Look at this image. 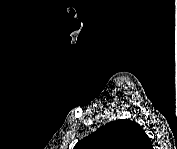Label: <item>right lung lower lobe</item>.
Segmentation results:
<instances>
[{
  "label": "right lung lower lobe",
  "mask_w": 177,
  "mask_h": 149,
  "mask_svg": "<svg viewBox=\"0 0 177 149\" xmlns=\"http://www.w3.org/2000/svg\"><path fill=\"white\" fill-rule=\"evenodd\" d=\"M143 142L146 144L147 147L151 146V141L148 136L144 138Z\"/></svg>",
  "instance_id": "1"
}]
</instances>
